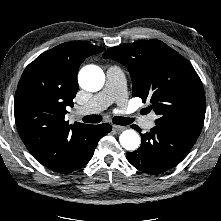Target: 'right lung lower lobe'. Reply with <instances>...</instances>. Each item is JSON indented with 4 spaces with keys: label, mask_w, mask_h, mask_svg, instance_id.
Returning <instances> with one entry per match:
<instances>
[{
    "label": "right lung lower lobe",
    "mask_w": 221,
    "mask_h": 221,
    "mask_svg": "<svg viewBox=\"0 0 221 221\" xmlns=\"http://www.w3.org/2000/svg\"><path fill=\"white\" fill-rule=\"evenodd\" d=\"M112 130L109 124L91 125L74 139L69 151L59 161L45 165L49 169L67 174L86 165L94 154L98 141Z\"/></svg>",
    "instance_id": "98d812e1"
}]
</instances>
